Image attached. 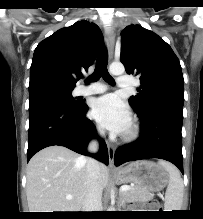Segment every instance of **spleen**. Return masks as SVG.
<instances>
[{
	"mask_svg": "<svg viewBox=\"0 0 203 219\" xmlns=\"http://www.w3.org/2000/svg\"><path fill=\"white\" fill-rule=\"evenodd\" d=\"M169 175V182L165 194L166 211L181 210L184 185L179 170L169 162L160 160L158 162Z\"/></svg>",
	"mask_w": 203,
	"mask_h": 219,
	"instance_id": "spleen-1",
	"label": "spleen"
}]
</instances>
